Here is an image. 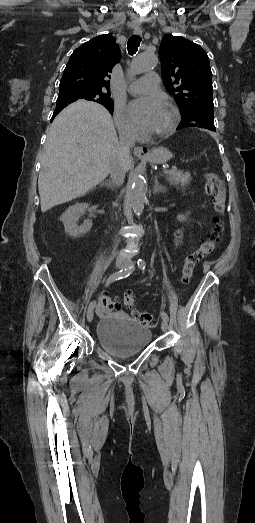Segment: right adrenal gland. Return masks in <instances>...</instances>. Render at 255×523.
Segmentation results:
<instances>
[{"mask_svg": "<svg viewBox=\"0 0 255 523\" xmlns=\"http://www.w3.org/2000/svg\"><path fill=\"white\" fill-rule=\"evenodd\" d=\"M101 186H105V188H107V190H113V188H114L111 180H106V182H103V184H101Z\"/></svg>", "mask_w": 255, "mask_h": 523, "instance_id": "obj_1", "label": "right adrenal gland"}]
</instances>
